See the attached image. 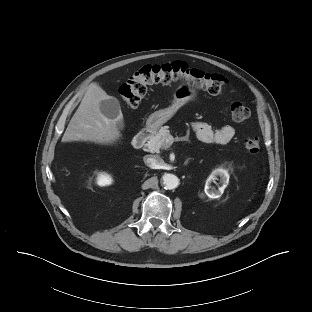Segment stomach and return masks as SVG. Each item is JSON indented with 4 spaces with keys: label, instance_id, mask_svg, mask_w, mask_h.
<instances>
[{
    "label": "stomach",
    "instance_id": "stomach-1",
    "mask_svg": "<svg viewBox=\"0 0 312 312\" xmlns=\"http://www.w3.org/2000/svg\"><path fill=\"white\" fill-rule=\"evenodd\" d=\"M197 94V90L190 84L179 85L173 92L171 105L152 113L147 119V127L150 129H158L169 121L183 105L194 100Z\"/></svg>",
    "mask_w": 312,
    "mask_h": 312
}]
</instances>
